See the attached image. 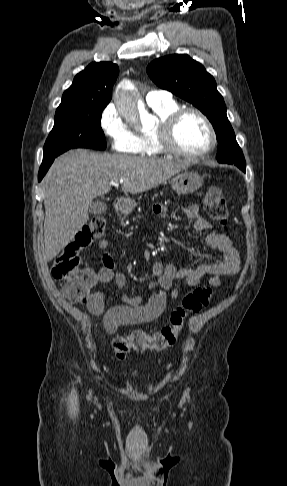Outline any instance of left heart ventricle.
Instances as JSON below:
<instances>
[{
    "label": "left heart ventricle",
    "instance_id": "b2bd125f",
    "mask_svg": "<svg viewBox=\"0 0 287 486\" xmlns=\"http://www.w3.org/2000/svg\"><path fill=\"white\" fill-rule=\"evenodd\" d=\"M209 140L205 124L195 114H187L182 117L174 132L175 144L187 152L203 150L208 146Z\"/></svg>",
    "mask_w": 287,
    "mask_h": 486
}]
</instances>
